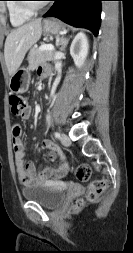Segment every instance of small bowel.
<instances>
[{"label":"small bowel","instance_id":"1","mask_svg":"<svg viewBox=\"0 0 133 253\" xmlns=\"http://www.w3.org/2000/svg\"><path fill=\"white\" fill-rule=\"evenodd\" d=\"M48 73L49 70L47 68H39V74L41 77H46ZM30 115L31 109L27 107L23 118L28 119ZM12 143L17 177L22 185L27 186L47 182L48 179L53 176L63 177L68 172V165L64 161L57 168L47 166L41 172H36L32 162L26 161V148L22 140V127L19 124H15L12 127ZM42 146L50 151L57 150L56 144L49 139L43 140ZM61 159L63 160V157H61Z\"/></svg>","mask_w":133,"mask_h":253}]
</instances>
